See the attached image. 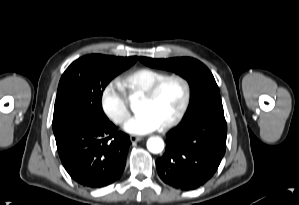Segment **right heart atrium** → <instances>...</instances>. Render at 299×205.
Returning <instances> with one entry per match:
<instances>
[{
  "label": "right heart atrium",
  "instance_id": "right-heart-atrium-1",
  "mask_svg": "<svg viewBox=\"0 0 299 205\" xmlns=\"http://www.w3.org/2000/svg\"><path fill=\"white\" fill-rule=\"evenodd\" d=\"M100 106L106 117L116 125H122L130 115L125 96L115 81L108 82L101 90Z\"/></svg>",
  "mask_w": 299,
  "mask_h": 205
}]
</instances>
